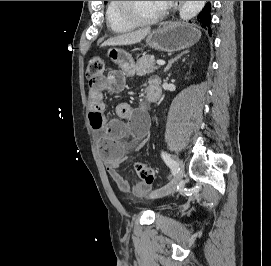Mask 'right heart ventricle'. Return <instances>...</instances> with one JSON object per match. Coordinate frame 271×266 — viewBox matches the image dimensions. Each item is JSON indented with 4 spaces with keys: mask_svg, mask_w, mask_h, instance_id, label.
Returning <instances> with one entry per match:
<instances>
[{
    "mask_svg": "<svg viewBox=\"0 0 271 266\" xmlns=\"http://www.w3.org/2000/svg\"><path fill=\"white\" fill-rule=\"evenodd\" d=\"M106 22L115 33H126L134 28V25L126 21L120 14L119 1H108L105 10Z\"/></svg>",
    "mask_w": 271,
    "mask_h": 266,
    "instance_id": "e07e8e85",
    "label": "right heart ventricle"
}]
</instances>
